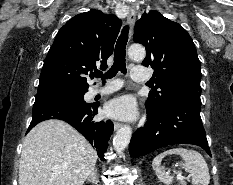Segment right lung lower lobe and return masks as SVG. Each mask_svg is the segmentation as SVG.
I'll return each instance as SVG.
<instances>
[{
  "mask_svg": "<svg viewBox=\"0 0 233 185\" xmlns=\"http://www.w3.org/2000/svg\"><path fill=\"white\" fill-rule=\"evenodd\" d=\"M97 108L98 104L86 103L84 100L69 97L53 95L36 97L32 121L27 132L44 120H64L96 147L98 156L103 160L108 141L113 133V123L110 120L93 121L94 115L97 114Z\"/></svg>",
  "mask_w": 233,
  "mask_h": 185,
  "instance_id": "1",
  "label": "right lung lower lobe"
}]
</instances>
